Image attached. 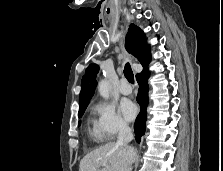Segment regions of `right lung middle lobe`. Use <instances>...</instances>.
Wrapping results in <instances>:
<instances>
[{
  "label": "right lung middle lobe",
  "mask_w": 223,
  "mask_h": 171,
  "mask_svg": "<svg viewBox=\"0 0 223 171\" xmlns=\"http://www.w3.org/2000/svg\"><path fill=\"white\" fill-rule=\"evenodd\" d=\"M86 107H87V106H84V107H80V108H79V113H78L79 118L82 117L84 111L86 110ZM80 123H81V121H79V124H80Z\"/></svg>",
  "instance_id": "obj_1"
}]
</instances>
